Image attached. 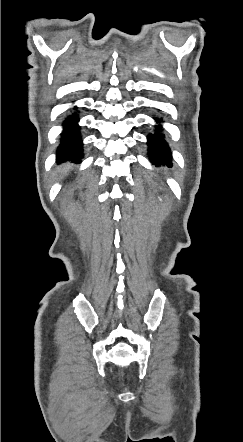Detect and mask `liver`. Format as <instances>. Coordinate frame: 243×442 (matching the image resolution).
<instances>
[{"label":"liver","mask_w":243,"mask_h":442,"mask_svg":"<svg viewBox=\"0 0 243 442\" xmlns=\"http://www.w3.org/2000/svg\"><path fill=\"white\" fill-rule=\"evenodd\" d=\"M67 171H68V167L67 166H64V168L60 170V172L63 173V174H66Z\"/></svg>","instance_id":"liver-1"}]
</instances>
